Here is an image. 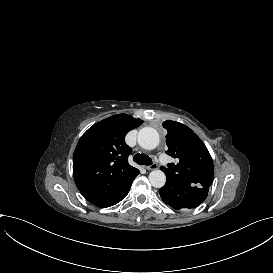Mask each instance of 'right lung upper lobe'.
I'll list each match as a JSON object with an SVG mask.
<instances>
[{
	"instance_id": "right-lung-upper-lobe-1",
	"label": "right lung upper lobe",
	"mask_w": 273,
	"mask_h": 273,
	"mask_svg": "<svg viewBox=\"0 0 273 273\" xmlns=\"http://www.w3.org/2000/svg\"><path fill=\"white\" fill-rule=\"evenodd\" d=\"M143 123L126 114L108 117L90 127L73 155L75 183L92 204L105 208L120 202L140 173L128 163L131 149L125 135Z\"/></svg>"
}]
</instances>
